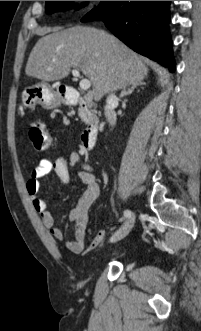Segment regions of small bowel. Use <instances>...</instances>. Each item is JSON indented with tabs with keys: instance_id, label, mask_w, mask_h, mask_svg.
<instances>
[{
	"instance_id": "obj_1",
	"label": "small bowel",
	"mask_w": 201,
	"mask_h": 331,
	"mask_svg": "<svg viewBox=\"0 0 201 331\" xmlns=\"http://www.w3.org/2000/svg\"><path fill=\"white\" fill-rule=\"evenodd\" d=\"M76 165L83 168L79 174V179L85 185V190L75 207L68 212L67 218L74 225V239L65 241V245L74 254H86L94 250L104 239V233L99 232L89 246L85 245L89 209L100 194V187L96 181L93 167L84 162L76 152L59 157L55 161L43 158L31 171L26 189L43 225L55 239L63 241L65 239L64 233L56 226L54 216L48 210L49 200L41 197L40 179L54 172L63 184L68 185L70 183L69 168Z\"/></svg>"
}]
</instances>
